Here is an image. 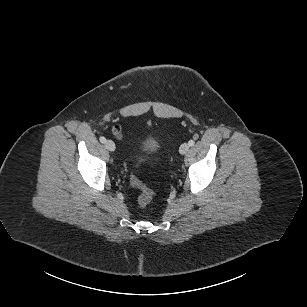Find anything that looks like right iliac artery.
<instances>
[{
  "instance_id": "82829eb1",
  "label": "right iliac artery",
  "mask_w": 307,
  "mask_h": 307,
  "mask_svg": "<svg viewBox=\"0 0 307 307\" xmlns=\"http://www.w3.org/2000/svg\"><path fill=\"white\" fill-rule=\"evenodd\" d=\"M99 140H100V142H101V143H105V142H106V138H105V137H103V136H102V137H100V138H99Z\"/></svg>"
}]
</instances>
